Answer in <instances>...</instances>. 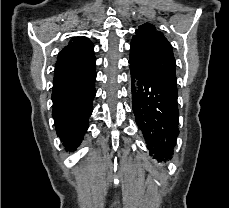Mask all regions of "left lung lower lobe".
<instances>
[{
  "instance_id": "0a47b994",
  "label": "left lung lower lobe",
  "mask_w": 229,
  "mask_h": 208,
  "mask_svg": "<svg viewBox=\"0 0 229 208\" xmlns=\"http://www.w3.org/2000/svg\"><path fill=\"white\" fill-rule=\"evenodd\" d=\"M132 78V106L136 124L142 131L149 155L158 162L171 159L178 129V93L164 88L143 74L129 60ZM134 79L138 94H135Z\"/></svg>"
}]
</instances>
